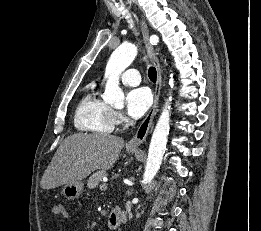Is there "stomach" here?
Masks as SVG:
<instances>
[{
  "instance_id": "stomach-1",
  "label": "stomach",
  "mask_w": 261,
  "mask_h": 231,
  "mask_svg": "<svg viewBox=\"0 0 261 231\" xmlns=\"http://www.w3.org/2000/svg\"><path fill=\"white\" fill-rule=\"evenodd\" d=\"M135 149L129 150V152H135ZM84 184L81 181L75 183H67L62 188V193L68 200H73L78 198L83 191Z\"/></svg>"
}]
</instances>
